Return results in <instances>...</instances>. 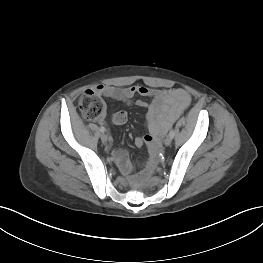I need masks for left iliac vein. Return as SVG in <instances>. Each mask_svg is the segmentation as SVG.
Listing matches in <instances>:
<instances>
[{
  "label": "left iliac vein",
  "instance_id": "obj_1",
  "mask_svg": "<svg viewBox=\"0 0 263 263\" xmlns=\"http://www.w3.org/2000/svg\"><path fill=\"white\" fill-rule=\"evenodd\" d=\"M171 142H172V137H171L170 135H168V136L165 138V140H164V144H165L166 146H169V145L171 144Z\"/></svg>",
  "mask_w": 263,
  "mask_h": 263
}]
</instances>
